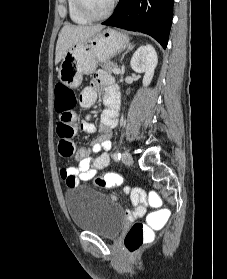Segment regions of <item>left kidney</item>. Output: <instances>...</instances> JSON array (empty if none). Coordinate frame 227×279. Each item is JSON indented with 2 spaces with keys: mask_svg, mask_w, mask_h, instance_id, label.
I'll return each instance as SVG.
<instances>
[{
  "mask_svg": "<svg viewBox=\"0 0 227 279\" xmlns=\"http://www.w3.org/2000/svg\"><path fill=\"white\" fill-rule=\"evenodd\" d=\"M158 63L157 53L150 44L139 47L131 58V68L137 73H145L143 85L148 86L154 76Z\"/></svg>",
  "mask_w": 227,
  "mask_h": 279,
  "instance_id": "5707ae66",
  "label": "left kidney"
}]
</instances>
